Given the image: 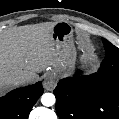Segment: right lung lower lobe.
<instances>
[{"mask_svg": "<svg viewBox=\"0 0 119 119\" xmlns=\"http://www.w3.org/2000/svg\"><path fill=\"white\" fill-rule=\"evenodd\" d=\"M41 82L15 89L0 98V119H28L29 113L43 94Z\"/></svg>", "mask_w": 119, "mask_h": 119, "instance_id": "98d812e1", "label": "right lung lower lobe"}]
</instances>
